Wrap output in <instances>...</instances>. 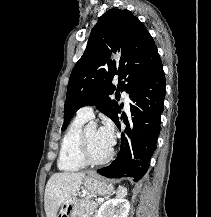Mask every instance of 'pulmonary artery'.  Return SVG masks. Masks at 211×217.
Here are the masks:
<instances>
[{"mask_svg":"<svg viewBox=\"0 0 211 217\" xmlns=\"http://www.w3.org/2000/svg\"><path fill=\"white\" fill-rule=\"evenodd\" d=\"M122 97L124 99L125 108L128 110L129 109V103H130L129 94L124 91L122 93ZM93 116H94L93 107L90 105L83 106L77 111V117L82 118L86 121L93 118Z\"/></svg>","mask_w":211,"mask_h":217,"instance_id":"obj_1","label":"pulmonary artery"}]
</instances>
